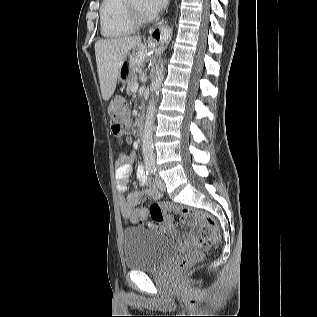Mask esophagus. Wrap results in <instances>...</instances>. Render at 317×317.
Wrapping results in <instances>:
<instances>
[{
  "instance_id": "34e87169",
  "label": "esophagus",
  "mask_w": 317,
  "mask_h": 317,
  "mask_svg": "<svg viewBox=\"0 0 317 317\" xmlns=\"http://www.w3.org/2000/svg\"><path fill=\"white\" fill-rule=\"evenodd\" d=\"M149 33L148 41L160 43L166 38V26L164 23H160L158 26L152 28Z\"/></svg>"
}]
</instances>
